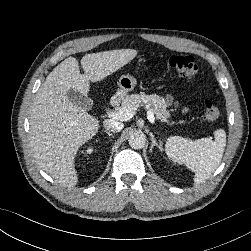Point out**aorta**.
Wrapping results in <instances>:
<instances>
[{
  "instance_id": "762f6f07",
  "label": "aorta",
  "mask_w": 251,
  "mask_h": 251,
  "mask_svg": "<svg viewBox=\"0 0 251 251\" xmlns=\"http://www.w3.org/2000/svg\"><path fill=\"white\" fill-rule=\"evenodd\" d=\"M129 145L133 149H141L144 147L146 138L145 135L141 132H134L130 135L129 139Z\"/></svg>"
}]
</instances>
